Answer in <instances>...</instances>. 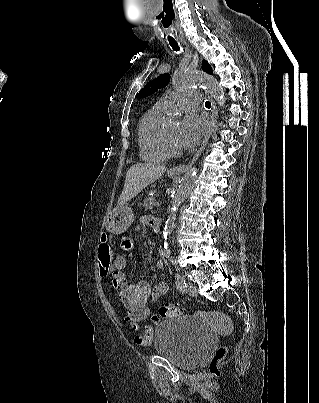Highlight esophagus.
I'll list each match as a JSON object with an SVG mask.
<instances>
[{
    "instance_id": "1",
    "label": "esophagus",
    "mask_w": 319,
    "mask_h": 403,
    "mask_svg": "<svg viewBox=\"0 0 319 403\" xmlns=\"http://www.w3.org/2000/svg\"><path fill=\"white\" fill-rule=\"evenodd\" d=\"M184 44H186V42H184ZM216 123H217V107H216V103L215 101L212 99L211 100V116H210V126L204 136L203 142L200 146V148L198 149V151L196 152L195 156L193 157V159L185 165H178V166H174L172 167L170 170L173 173L176 174H181L184 173L185 171H187L195 162L196 160L199 158V156L201 155V153L203 152V150L205 149L208 140L210 139L215 127H216Z\"/></svg>"
}]
</instances>
